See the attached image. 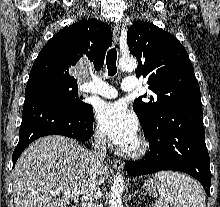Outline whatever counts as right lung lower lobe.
<instances>
[{"label":"right lung lower lobe","instance_id":"98d812e1","mask_svg":"<svg viewBox=\"0 0 220 207\" xmlns=\"http://www.w3.org/2000/svg\"><path fill=\"white\" fill-rule=\"evenodd\" d=\"M20 126L18 145L13 152V167L23 150L34 140L46 135H63L78 141H88L93 133V108L75 110L52 94L29 91Z\"/></svg>","mask_w":220,"mask_h":207}]
</instances>
